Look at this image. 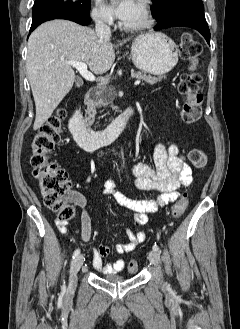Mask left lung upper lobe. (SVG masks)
Returning a JSON list of instances; mask_svg holds the SVG:
<instances>
[{
	"instance_id": "left-lung-upper-lobe-1",
	"label": "left lung upper lobe",
	"mask_w": 240,
	"mask_h": 329,
	"mask_svg": "<svg viewBox=\"0 0 240 329\" xmlns=\"http://www.w3.org/2000/svg\"><path fill=\"white\" fill-rule=\"evenodd\" d=\"M154 7L152 15L156 21L162 20L168 13L177 9H194L204 11L202 0H151Z\"/></svg>"
}]
</instances>
